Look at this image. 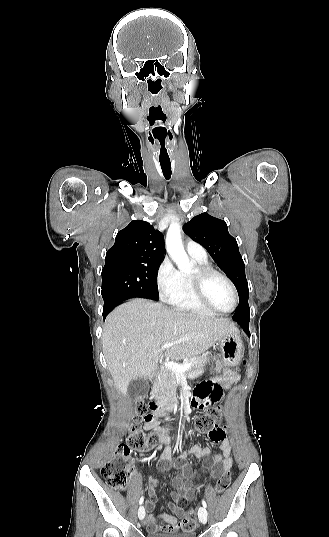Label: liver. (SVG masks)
<instances>
[{"label": "liver", "instance_id": "1", "mask_svg": "<svg viewBox=\"0 0 329 537\" xmlns=\"http://www.w3.org/2000/svg\"><path fill=\"white\" fill-rule=\"evenodd\" d=\"M236 330L227 319L183 313L162 303L133 299L107 316L102 347L116 388L126 394L132 380L155 376L164 343H175L165 348V356L177 361L205 352Z\"/></svg>", "mask_w": 329, "mask_h": 537}]
</instances>
